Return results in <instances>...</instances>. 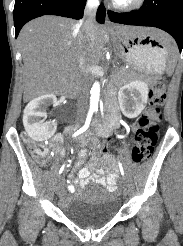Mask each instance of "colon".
Instances as JSON below:
<instances>
[{"label":"colon","instance_id":"obj_1","mask_svg":"<svg viewBox=\"0 0 183 246\" xmlns=\"http://www.w3.org/2000/svg\"><path fill=\"white\" fill-rule=\"evenodd\" d=\"M166 100V89L164 84L157 80L152 83L149 91V105L138 120V127L134 134V147L132 159L135 163H141L152 153L158 141V132L163 119L162 107ZM30 154L38 161H45L48 151L47 148L38 142L27 140ZM104 157H109V148L106 146L101 149Z\"/></svg>","mask_w":183,"mask_h":246}]
</instances>
